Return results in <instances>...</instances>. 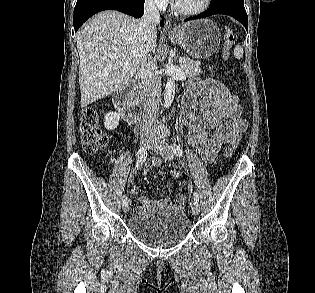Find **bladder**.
I'll return each instance as SVG.
<instances>
[{
	"instance_id": "1",
	"label": "bladder",
	"mask_w": 315,
	"mask_h": 293,
	"mask_svg": "<svg viewBox=\"0 0 315 293\" xmlns=\"http://www.w3.org/2000/svg\"><path fill=\"white\" fill-rule=\"evenodd\" d=\"M128 228L143 242L166 247L182 240L190 230L189 218L176 207H164L132 216Z\"/></svg>"
}]
</instances>
